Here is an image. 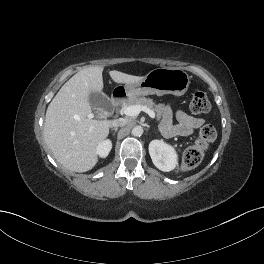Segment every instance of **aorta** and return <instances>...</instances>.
Instances as JSON below:
<instances>
[{"label": "aorta", "mask_w": 264, "mask_h": 264, "mask_svg": "<svg viewBox=\"0 0 264 264\" xmlns=\"http://www.w3.org/2000/svg\"><path fill=\"white\" fill-rule=\"evenodd\" d=\"M143 134V128L142 126H135L133 129H132V135L133 136H141Z\"/></svg>", "instance_id": "762f6f07"}]
</instances>
